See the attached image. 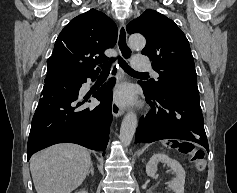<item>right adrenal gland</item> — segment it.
<instances>
[{"label":"right adrenal gland","instance_id":"2a0ac1e0","mask_svg":"<svg viewBox=\"0 0 237 193\" xmlns=\"http://www.w3.org/2000/svg\"><path fill=\"white\" fill-rule=\"evenodd\" d=\"M89 173H91V175H94L93 164H91V167H90ZM89 173H88V175H89Z\"/></svg>","mask_w":237,"mask_h":193}]
</instances>
